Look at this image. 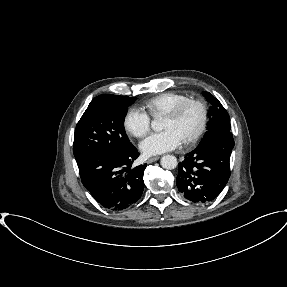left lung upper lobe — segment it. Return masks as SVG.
I'll return each mask as SVG.
<instances>
[{"label":"left lung upper lobe","mask_w":287,"mask_h":287,"mask_svg":"<svg viewBox=\"0 0 287 287\" xmlns=\"http://www.w3.org/2000/svg\"><path fill=\"white\" fill-rule=\"evenodd\" d=\"M203 95L212 106L208 112V131L198 147L205 146L220 136L230 132V117L225 108L219 100L209 92H203Z\"/></svg>","instance_id":"left-lung-upper-lobe-1"}]
</instances>
